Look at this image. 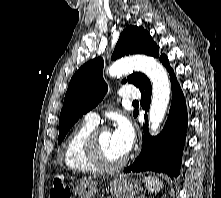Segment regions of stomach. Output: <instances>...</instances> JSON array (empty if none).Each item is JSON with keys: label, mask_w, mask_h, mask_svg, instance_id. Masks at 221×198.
I'll return each mask as SVG.
<instances>
[{"label": "stomach", "mask_w": 221, "mask_h": 198, "mask_svg": "<svg viewBox=\"0 0 221 198\" xmlns=\"http://www.w3.org/2000/svg\"><path fill=\"white\" fill-rule=\"evenodd\" d=\"M141 190L140 183L134 179L119 176L110 183L112 198H133ZM97 183L91 179H81L76 183V193L80 198H94Z\"/></svg>", "instance_id": "1"}]
</instances>
